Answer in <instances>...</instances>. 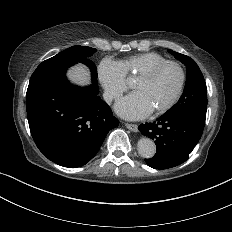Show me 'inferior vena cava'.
<instances>
[{
  "instance_id": "inferior-vena-cava-1",
  "label": "inferior vena cava",
  "mask_w": 232,
  "mask_h": 232,
  "mask_svg": "<svg viewBox=\"0 0 232 232\" xmlns=\"http://www.w3.org/2000/svg\"><path fill=\"white\" fill-rule=\"evenodd\" d=\"M103 98L106 101V103L110 104L111 99H112V95H111V93L109 91H106L103 94Z\"/></svg>"
}]
</instances>
